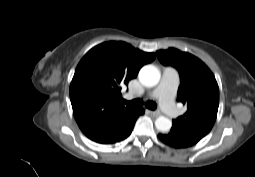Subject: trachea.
<instances>
[{"mask_svg": "<svg viewBox=\"0 0 255 177\" xmlns=\"http://www.w3.org/2000/svg\"><path fill=\"white\" fill-rule=\"evenodd\" d=\"M123 103L132 107H140L143 105V101L141 99H135L132 101L123 100ZM145 106L151 110H155L157 108L156 103H154L153 101H147L145 103Z\"/></svg>", "mask_w": 255, "mask_h": 177, "instance_id": "1", "label": "trachea"}]
</instances>
